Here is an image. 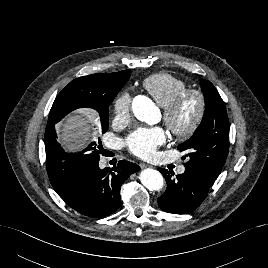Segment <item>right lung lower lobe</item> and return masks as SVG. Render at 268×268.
Masks as SVG:
<instances>
[{"instance_id": "1", "label": "right lung lower lobe", "mask_w": 268, "mask_h": 268, "mask_svg": "<svg viewBox=\"0 0 268 268\" xmlns=\"http://www.w3.org/2000/svg\"><path fill=\"white\" fill-rule=\"evenodd\" d=\"M139 169L137 164L125 160L119 161L114 169H100L97 160L60 197L85 216L99 218L110 215L120 206L121 185Z\"/></svg>"}]
</instances>
